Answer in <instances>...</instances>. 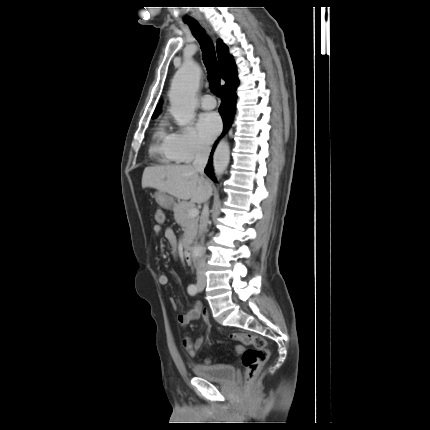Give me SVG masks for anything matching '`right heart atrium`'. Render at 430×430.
<instances>
[{
    "instance_id": "d8ad5b80",
    "label": "right heart atrium",
    "mask_w": 430,
    "mask_h": 430,
    "mask_svg": "<svg viewBox=\"0 0 430 430\" xmlns=\"http://www.w3.org/2000/svg\"><path fill=\"white\" fill-rule=\"evenodd\" d=\"M170 146L175 158L182 163L206 156L210 150L192 126H185L171 133Z\"/></svg>"
}]
</instances>
